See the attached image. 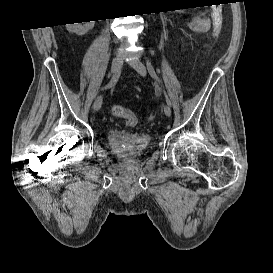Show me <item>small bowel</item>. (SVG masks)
Listing matches in <instances>:
<instances>
[{
    "label": "small bowel",
    "instance_id": "c3829d8e",
    "mask_svg": "<svg viewBox=\"0 0 273 273\" xmlns=\"http://www.w3.org/2000/svg\"><path fill=\"white\" fill-rule=\"evenodd\" d=\"M211 27V22L208 18L196 16L193 17L189 22V28L195 33H205Z\"/></svg>",
    "mask_w": 273,
    "mask_h": 273
}]
</instances>
